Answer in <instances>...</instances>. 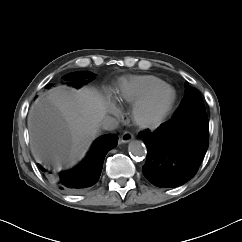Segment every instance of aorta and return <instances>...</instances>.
I'll list each match as a JSON object with an SVG mask.
<instances>
[{"instance_id":"obj_1","label":"aorta","mask_w":242,"mask_h":242,"mask_svg":"<svg viewBox=\"0 0 242 242\" xmlns=\"http://www.w3.org/2000/svg\"><path fill=\"white\" fill-rule=\"evenodd\" d=\"M128 150L129 153L134 157L142 158L146 155L145 145L138 140L131 141L128 145Z\"/></svg>"}]
</instances>
